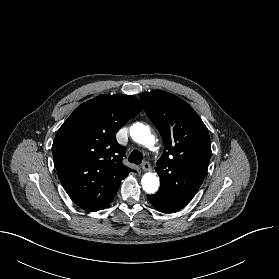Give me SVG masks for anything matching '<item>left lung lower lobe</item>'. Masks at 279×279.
<instances>
[{
    "instance_id": "obj_1",
    "label": "left lung lower lobe",
    "mask_w": 279,
    "mask_h": 279,
    "mask_svg": "<svg viewBox=\"0 0 279 279\" xmlns=\"http://www.w3.org/2000/svg\"><path fill=\"white\" fill-rule=\"evenodd\" d=\"M148 200L156 210L162 213H174L186 206L191 199L185 197H175L161 192L154 195H147Z\"/></svg>"
}]
</instances>
